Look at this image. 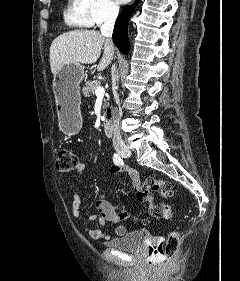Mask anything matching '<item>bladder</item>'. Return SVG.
<instances>
[{
    "label": "bladder",
    "instance_id": "31cf9c89",
    "mask_svg": "<svg viewBox=\"0 0 240 281\" xmlns=\"http://www.w3.org/2000/svg\"><path fill=\"white\" fill-rule=\"evenodd\" d=\"M146 233L142 230H136L125 235L113 238L106 242L108 247L126 252H138L142 249Z\"/></svg>",
    "mask_w": 240,
    "mask_h": 281
}]
</instances>
